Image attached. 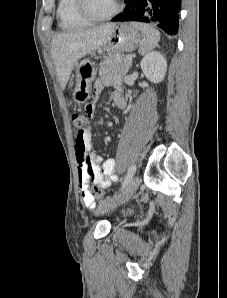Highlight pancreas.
Segmentation results:
<instances>
[{"instance_id": "pancreas-1", "label": "pancreas", "mask_w": 227, "mask_h": 298, "mask_svg": "<svg viewBox=\"0 0 227 298\" xmlns=\"http://www.w3.org/2000/svg\"><path fill=\"white\" fill-rule=\"evenodd\" d=\"M131 61L127 60V55L124 54H111L105 57L104 61L100 63L99 75H104L108 72H115L120 75H126Z\"/></svg>"}]
</instances>
